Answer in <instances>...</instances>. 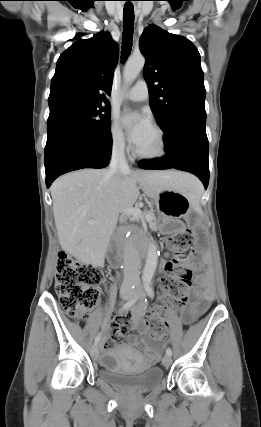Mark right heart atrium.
<instances>
[{
	"label": "right heart atrium",
	"mask_w": 261,
	"mask_h": 427,
	"mask_svg": "<svg viewBox=\"0 0 261 427\" xmlns=\"http://www.w3.org/2000/svg\"><path fill=\"white\" fill-rule=\"evenodd\" d=\"M109 137H110L111 148L114 152L118 154H123L127 151L128 146H127L124 133L122 132L121 128L115 121H113L110 125Z\"/></svg>",
	"instance_id": "obj_1"
}]
</instances>
